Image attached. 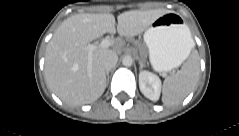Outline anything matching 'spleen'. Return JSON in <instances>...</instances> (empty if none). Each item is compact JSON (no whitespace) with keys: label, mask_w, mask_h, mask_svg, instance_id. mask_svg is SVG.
<instances>
[{"label":"spleen","mask_w":239,"mask_h":136,"mask_svg":"<svg viewBox=\"0 0 239 136\" xmlns=\"http://www.w3.org/2000/svg\"><path fill=\"white\" fill-rule=\"evenodd\" d=\"M189 42L193 48L195 43L190 32ZM199 72V58L197 54L194 53L191 58L182 66L180 71L165 78L162 88V102L165 105H175L181 103L197 85Z\"/></svg>","instance_id":"obj_1"}]
</instances>
